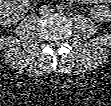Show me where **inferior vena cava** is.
Returning a JSON list of instances; mask_svg holds the SVG:
<instances>
[{"label": "inferior vena cava", "instance_id": "602c4592", "mask_svg": "<svg viewBox=\"0 0 111 106\" xmlns=\"http://www.w3.org/2000/svg\"><path fill=\"white\" fill-rule=\"evenodd\" d=\"M52 11L51 7L48 5H42L39 9L40 14H47L50 13Z\"/></svg>", "mask_w": 111, "mask_h": 106}]
</instances>
